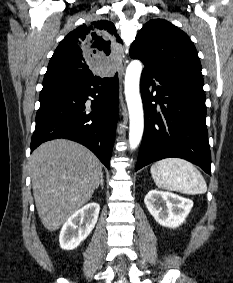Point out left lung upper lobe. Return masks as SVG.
Instances as JSON below:
<instances>
[{
    "mask_svg": "<svg viewBox=\"0 0 233 283\" xmlns=\"http://www.w3.org/2000/svg\"><path fill=\"white\" fill-rule=\"evenodd\" d=\"M130 56L153 70L202 76L196 48L188 35L163 19H152L143 26L131 45Z\"/></svg>",
    "mask_w": 233,
    "mask_h": 283,
    "instance_id": "obj_1",
    "label": "left lung upper lobe"
}]
</instances>
